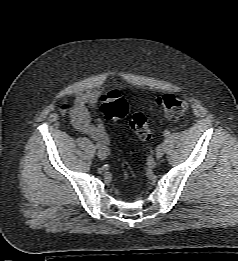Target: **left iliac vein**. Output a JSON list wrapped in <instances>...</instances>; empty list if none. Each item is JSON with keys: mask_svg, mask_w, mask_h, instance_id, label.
<instances>
[{"mask_svg": "<svg viewBox=\"0 0 238 261\" xmlns=\"http://www.w3.org/2000/svg\"><path fill=\"white\" fill-rule=\"evenodd\" d=\"M164 154V145L160 144L155 151V157L156 159H160Z\"/></svg>", "mask_w": 238, "mask_h": 261, "instance_id": "1", "label": "left iliac vein"}]
</instances>
